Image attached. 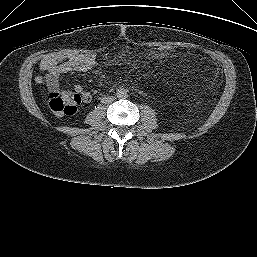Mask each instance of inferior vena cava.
Returning a JSON list of instances; mask_svg holds the SVG:
<instances>
[{
    "label": "inferior vena cava",
    "instance_id": "inferior-vena-cava-1",
    "mask_svg": "<svg viewBox=\"0 0 257 257\" xmlns=\"http://www.w3.org/2000/svg\"><path fill=\"white\" fill-rule=\"evenodd\" d=\"M113 100V97H105L102 99V103H111Z\"/></svg>",
    "mask_w": 257,
    "mask_h": 257
}]
</instances>
